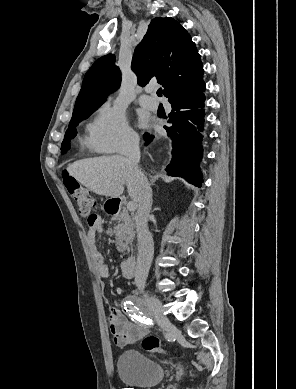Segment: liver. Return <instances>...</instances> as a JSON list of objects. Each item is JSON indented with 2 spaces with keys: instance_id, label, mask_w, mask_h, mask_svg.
<instances>
[{
  "instance_id": "1",
  "label": "liver",
  "mask_w": 296,
  "mask_h": 389,
  "mask_svg": "<svg viewBox=\"0 0 296 389\" xmlns=\"http://www.w3.org/2000/svg\"><path fill=\"white\" fill-rule=\"evenodd\" d=\"M67 172L90 191L106 197L121 196L126 185L131 199L139 203L138 181L124 156L78 160L68 166Z\"/></svg>"
}]
</instances>
